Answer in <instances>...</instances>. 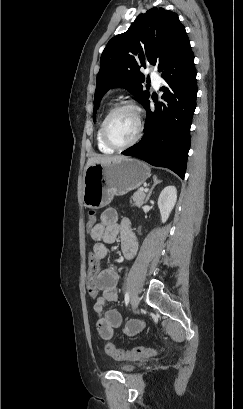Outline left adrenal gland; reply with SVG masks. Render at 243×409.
<instances>
[{"label": "left adrenal gland", "instance_id": "obj_1", "mask_svg": "<svg viewBox=\"0 0 243 409\" xmlns=\"http://www.w3.org/2000/svg\"><path fill=\"white\" fill-rule=\"evenodd\" d=\"M160 183H161V181L158 180L156 176L153 177V185H152L151 189H150L149 192H148V195H147V197H146V201L149 200V198H150V196H151V194H152L153 189L155 188V186H157V185L160 184Z\"/></svg>", "mask_w": 243, "mask_h": 409}]
</instances>
